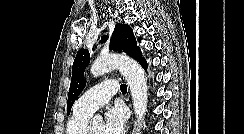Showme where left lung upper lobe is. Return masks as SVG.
<instances>
[{"mask_svg": "<svg viewBox=\"0 0 244 134\" xmlns=\"http://www.w3.org/2000/svg\"><path fill=\"white\" fill-rule=\"evenodd\" d=\"M104 37L102 38V41ZM114 51H123L139 61L144 69L147 64L142 57L140 48L136 44L132 29L126 24H117L111 38L110 48ZM90 62V54L86 49H80L75 57L72 67V79L68 93L67 115L70 114L71 107L80 93L83 91L86 80L84 79V71Z\"/></svg>", "mask_w": 244, "mask_h": 134, "instance_id": "obj_1", "label": "left lung upper lobe"}]
</instances>
